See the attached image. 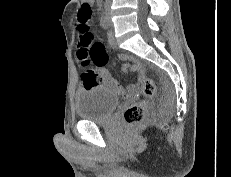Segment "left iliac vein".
Returning a JSON list of instances; mask_svg holds the SVG:
<instances>
[{
  "instance_id": "1",
  "label": "left iliac vein",
  "mask_w": 231,
  "mask_h": 177,
  "mask_svg": "<svg viewBox=\"0 0 231 177\" xmlns=\"http://www.w3.org/2000/svg\"><path fill=\"white\" fill-rule=\"evenodd\" d=\"M105 23L108 25V26H112V21H111V13H110V5L107 4L106 6V10H105Z\"/></svg>"
}]
</instances>
